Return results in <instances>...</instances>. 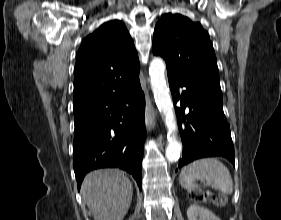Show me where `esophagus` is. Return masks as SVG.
Segmentation results:
<instances>
[{
  "label": "esophagus",
  "instance_id": "1",
  "mask_svg": "<svg viewBox=\"0 0 281 220\" xmlns=\"http://www.w3.org/2000/svg\"><path fill=\"white\" fill-rule=\"evenodd\" d=\"M157 115V111L154 109H151L149 106H147L146 109V127L147 128H154L156 125L155 117Z\"/></svg>",
  "mask_w": 281,
  "mask_h": 220
}]
</instances>
